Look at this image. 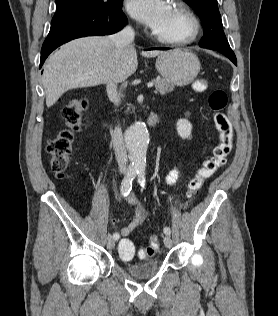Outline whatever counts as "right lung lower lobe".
<instances>
[{
  "mask_svg": "<svg viewBox=\"0 0 278 316\" xmlns=\"http://www.w3.org/2000/svg\"><path fill=\"white\" fill-rule=\"evenodd\" d=\"M127 23L122 12V0H116L106 9L74 12L53 17L50 32L45 39L40 58V68L48 55L60 45L85 36L110 35Z\"/></svg>",
  "mask_w": 278,
  "mask_h": 316,
  "instance_id": "right-lung-lower-lobe-1",
  "label": "right lung lower lobe"
}]
</instances>
